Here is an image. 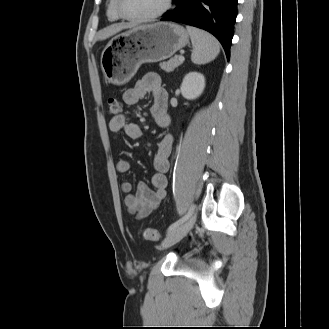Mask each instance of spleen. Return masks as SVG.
I'll return each mask as SVG.
<instances>
[{
	"instance_id": "3e777b00",
	"label": "spleen",
	"mask_w": 329,
	"mask_h": 329,
	"mask_svg": "<svg viewBox=\"0 0 329 329\" xmlns=\"http://www.w3.org/2000/svg\"><path fill=\"white\" fill-rule=\"evenodd\" d=\"M193 50L191 60L194 64L202 65L214 60L220 53V46L217 39L210 33L187 26Z\"/></svg>"
}]
</instances>
